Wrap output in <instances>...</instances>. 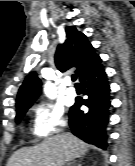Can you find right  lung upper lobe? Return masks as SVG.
Wrapping results in <instances>:
<instances>
[{"label":"right lung upper lobe","instance_id":"right-lung-upper-lobe-1","mask_svg":"<svg viewBox=\"0 0 135 166\" xmlns=\"http://www.w3.org/2000/svg\"><path fill=\"white\" fill-rule=\"evenodd\" d=\"M66 40L58 45L55 53V64L58 70L64 72L76 67V74L80 75L95 65L100 57L94 52V48L87 41V37L74 26L66 27ZM41 93V81L35 72H32L19 88L16 108L30 106Z\"/></svg>","mask_w":135,"mask_h":166}]
</instances>
